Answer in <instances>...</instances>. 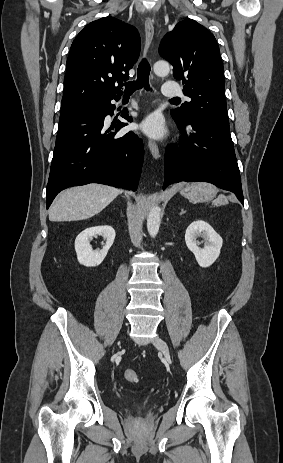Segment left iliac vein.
I'll return each instance as SVG.
<instances>
[{
  "label": "left iliac vein",
  "mask_w": 283,
  "mask_h": 463,
  "mask_svg": "<svg viewBox=\"0 0 283 463\" xmlns=\"http://www.w3.org/2000/svg\"><path fill=\"white\" fill-rule=\"evenodd\" d=\"M153 343H154L155 347L163 353L165 358H167V359L170 358L168 346L161 338L157 337L153 341Z\"/></svg>",
  "instance_id": "obj_1"
}]
</instances>
